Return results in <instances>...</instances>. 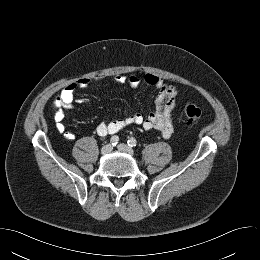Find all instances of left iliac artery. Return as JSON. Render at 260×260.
Segmentation results:
<instances>
[{
  "instance_id": "obj_1",
  "label": "left iliac artery",
  "mask_w": 260,
  "mask_h": 260,
  "mask_svg": "<svg viewBox=\"0 0 260 260\" xmlns=\"http://www.w3.org/2000/svg\"><path fill=\"white\" fill-rule=\"evenodd\" d=\"M127 143L129 147H135L137 142L136 139L132 137L127 141Z\"/></svg>"
}]
</instances>
